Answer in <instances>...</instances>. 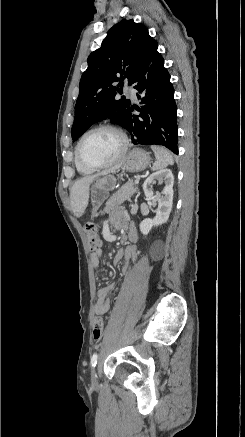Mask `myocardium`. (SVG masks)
Listing matches in <instances>:
<instances>
[{
    "label": "myocardium",
    "mask_w": 245,
    "mask_h": 437,
    "mask_svg": "<svg viewBox=\"0 0 245 437\" xmlns=\"http://www.w3.org/2000/svg\"><path fill=\"white\" fill-rule=\"evenodd\" d=\"M98 130H111L115 133H117L122 141V146L121 149L119 151V153L117 154V156L112 159L109 162L106 163H101V164H97V163H91L89 161H87L86 159H84V157L82 156L81 153V145L84 141V139L91 133L98 131ZM129 149V139L127 134L124 132V130H122L120 127L113 125V124H109V123H102V124H98L95 125L91 128H89L88 130H86L79 138L77 145H76V155L79 159V161L86 167L92 168V169H104V168H108L111 167L115 164H117L118 162H120L125 155L127 154Z\"/></svg>",
    "instance_id": "obj_1"
}]
</instances>
